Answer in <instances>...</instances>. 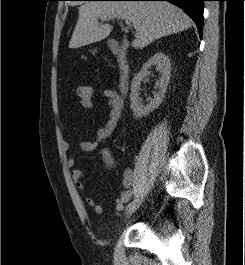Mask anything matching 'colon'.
Masks as SVG:
<instances>
[{
	"mask_svg": "<svg viewBox=\"0 0 245 265\" xmlns=\"http://www.w3.org/2000/svg\"><path fill=\"white\" fill-rule=\"evenodd\" d=\"M77 96L81 104H87L93 101L94 92L93 87L90 85H81L76 90Z\"/></svg>",
	"mask_w": 245,
	"mask_h": 265,
	"instance_id": "5ec220e1",
	"label": "colon"
}]
</instances>
